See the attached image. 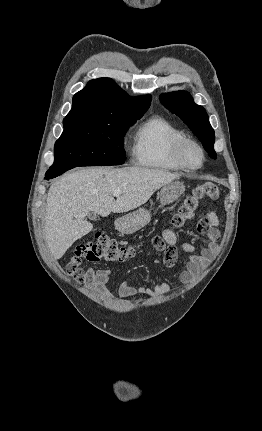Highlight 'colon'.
I'll list each match as a JSON object with an SVG mask.
<instances>
[{"mask_svg": "<svg viewBox=\"0 0 262 431\" xmlns=\"http://www.w3.org/2000/svg\"><path fill=\"white\" fill-rule=\"evenodd\" d=\"M218 197L219 188L216 184L207 182L197 185L174 214L171 227L179 228L184 226L193 218L205 198L215 200ZM151 245L161 251L169 247L162 235L153 236ZM133 253L134 250L131 247L120 245L113 239L98 235L95 239L87 241L76 248L68 260L66 271L73 276L81 275L84 272L80 266L82 259L96 262H122L131 257Z\"/></svg>", "mask_w": 262, "mask_h": 431, "instance_id": "5ec220e1", "label": "colon"}]
</instances>
